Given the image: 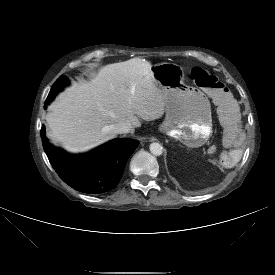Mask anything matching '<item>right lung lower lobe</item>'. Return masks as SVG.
Listing matches in <instances>:
<instances>
[{"label": "right lung lower lobe", "mask_w": 275, "mask_h": 275, "mask_svg": "<svg viewBox=\"0 0 275 275\" xmlns=\"http://www.w3.org/2000/svg\"><path fill=\"white\" fill-rule=\"evenodd\" d=\"M44 151L59 177L77 191L99 194L113 189L119 182L125 164L138 147L132 139H115L97 149L73 156L51 145L41 129Z\"/></svg>", "instance_id": "1"}]
</instances>
